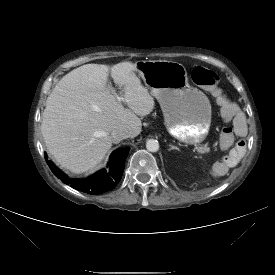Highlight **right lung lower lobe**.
I'll return each instance as SVG.
<instances>
[{"label": "right lung lower lobe", "mask_w": 275, "mask_h": 275, "mask_svg": "<svg viewBox=\"0 0 275 275\" xmlns=\"http://www.w3.org/2000/svg\"><path fill=\"white\" fill-rule=\"evenodd\" d=\"M128 153L129 148L117 149L110 156V171L108 173L106 170H103L84 180L67 179V177L48 160L47 155H45V159L53 174L63 183L88 194H101L113 189L120 181Z\"/></svg>", "instance_id": "obj_1"}]
</instances>
